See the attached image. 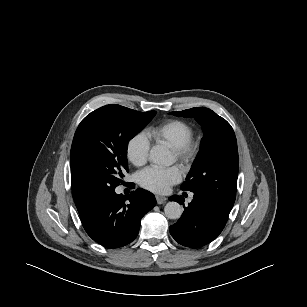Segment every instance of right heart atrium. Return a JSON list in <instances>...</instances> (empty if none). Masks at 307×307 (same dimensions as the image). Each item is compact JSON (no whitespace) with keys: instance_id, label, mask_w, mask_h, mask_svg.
Segmentation results:
<instances>
[{"instance_id":"1","label":"right heart atrium","mask_w":307,"mask_h":307,"mask_svg":"<svg viewBox=\"0 0 307 307\" xmlns=\"http://www.w3.org/2000/svg\"><path fill=\"white\" fill-rule=\"evenodd\" d=\"M150 142L143 134H136L127 143L126 156L136 167L145 165L149 158Z\"/></svg>"}]
</instances>
